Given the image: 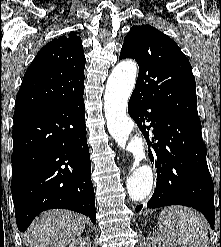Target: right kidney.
<instances>
[{
    "label": "right kidney",
    "mask_w": 221,
    "mask_h": 247,
    "mask_svg": "<svg viewBox=\"0 0 221 247\" xmlns=\"http://www.w3.org/2000/svg\"><path fill=\"white\" fill-rule=\"evenodd\" d=\"M69 247H91L90 238L88 236L77 238L69 244Z\"/></svg>",
    "instance_id": "obj_1"
}]
</instances>
